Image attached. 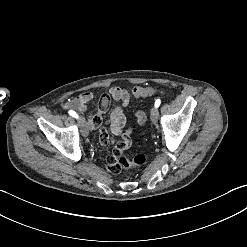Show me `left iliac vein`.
Returning <instances> with one entry per match:
<instances>
[{
	"instance_id": "left-iliac-vein-1",
	"label": "left iliac vein",
	"mask_w": 247,
	"mask_h": 247,
	"mask_svg": "<svg viewBox=\"0 0 247 247\" xmlns=\"http://www.w3.org/2000/svg\"><path fill=\"white\" fill-rule=\"evenodd\" d=\"M158 111L155 107H152L150 110V118L153 124H157L158 123Z\"/></svg>"
}]
</instances>
